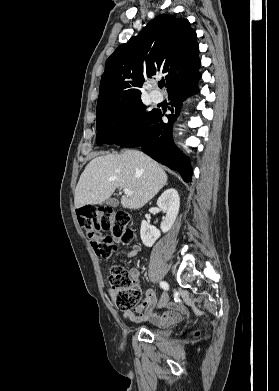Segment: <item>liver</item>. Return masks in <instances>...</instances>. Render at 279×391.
<instances>
[{"mask_svg":"<svg viewBox=\"0 0 279 391\" xmlns=\"http://www.w3.org/2000/svg\"><path fill=\"white\" fill-rule=\"evenodd\" d=\"M167 174L152 158L138 150L97 156L86 166L76 186L74 203L79 208L101 204L118 188H127L133 195H124L121 204L139 209L167 184Z\"/></svg>","mask_w":279,"mask_h":391,"instance_id":"liver-1","label":"liver"}]
</instances>
